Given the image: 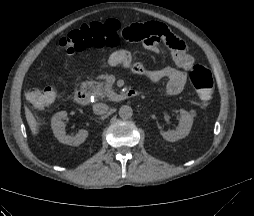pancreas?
<instances>
[{
    "mask_svg": "<svg viewBox=\"0 0 254 216\" xmlns=\"http://www.w3.org/2000/svg\"><path fill=\"white\" fill-rule=\"evenodd\" d=\"M86 86L92 91L96 99H103L112 91V86L107 82L89 81L86 82Z\"/></svg>",
    "mask_w": 254,
    "mask_h": 216,
    "instance_id": "cf45deb5",
    "label": "pancreas"
}]
</instances>
